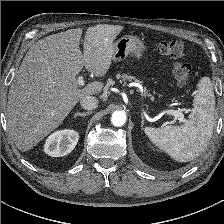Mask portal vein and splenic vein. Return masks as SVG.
Masks as SVG:
<instances>
[{
    "instance_id": "obj_1",
    "label": "portal vein and splenic vein",
    "mask_w": 224,
    "mask_h": 224,
    "mask_svg": "<svg viewBox=\"0 0 224 224\" xmlns=\"http://www.w3.org/2000/svg\"><path fill=\"white\" fill-rule=\"evenodd\" d=\"M77 84L80 85V86H84L83 76H79L77 78ZM165 113L177 117L179 122H184L185 121L184 114L179 110H167V111H165Z\"/></svg>"
}]
</instances>
